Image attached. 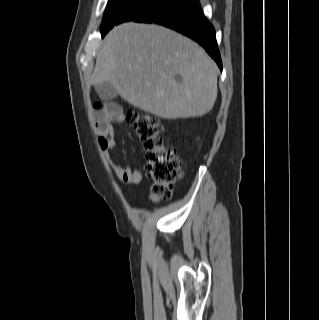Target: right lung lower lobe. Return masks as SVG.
<instances>
[{"instance_id": "98d812e1", "label": "right lung lower lobe", "mask_w": 319, "mask_h": 320, "mask_svg": "<svg viewBox=\"0 0 319 320\" xmlns=\"http://www.w3.org/2000/svg\"><path fill=\"white\" fill-rule=\"evenodd\" d=\"M134 21L161 24L192 38L205 48L222 70L215 29L205 18L198 0H176L171 5L148 12Z\"/></svg>"}]
</instances>
